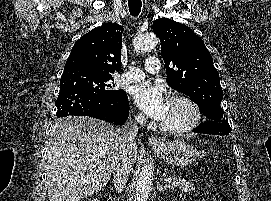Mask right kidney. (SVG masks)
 I'll list each match as a JSON object with an SVG mask.
<instances>
[{"label":"right kidney","mask_w":271,"mask_h":201,"mask_svg":"<svg viewBox=\"0 0 271 201\" xmlns=\"http://www.w3.org/2000/svg\"><path fill=\"white\" fill-rule=\"evenodd\" d=\"M92 201H98L97 199H94V200H92Z\"/></svg>","instance_id":"right-kidney-1"}]
</instances>
